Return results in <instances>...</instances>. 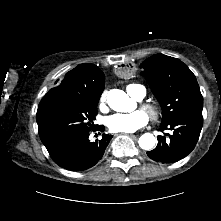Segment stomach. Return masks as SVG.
<instances>
[{"instance_id": "obj_1", "label": "stomach", "mask_w": 221, "mask_h": 221, "mask_svg": "<svg viewBox=\"0 0 221 221\" xmlns=\"http://www.w3.org/2000/svg\"><path fill=\"white\" fill-rule=\"evenodd\" d=\"M136 69L132 63L126 62L117 67L116 73L120 79L126 80L135 75Z\"/></svg>"}]
</instances>
